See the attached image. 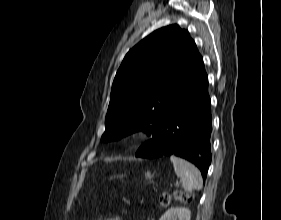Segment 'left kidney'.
<instances>
[{"mask_svg": "<svg viewBox=\"0 0 281 220\" xmlns=\"http://www.w3.org/2000/svg\"><path fill=\"white\" fill-rule=\"evenodd\" d=\"M191 211L184 207H171L159 220H190Z\"/></svg>", "mask_w": 281, "mask_h": 220, "instance_id": "obj_1", "label": "left kidney"}]
</instances>
